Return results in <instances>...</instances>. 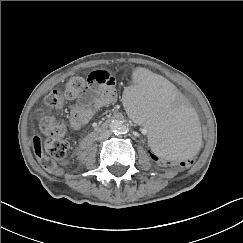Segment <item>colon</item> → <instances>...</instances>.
Returning <instances> with one entry per match:
<instances>
[{"label":"colon","instance_id":"5ec220e1","mask_svg":"<svg viewBox=\"0 0 243 243\" xmlns=\"http://www.w3.org/2000/svg\"><path fill=\"white\" fill-rule=\"evenodd\" d=\"M86 77L75 76L70 78L63 89H55L49 93L46 98V105L49 109L59 110L66 101L71 100L83 93L89 86L93 84L111 85L115 83L114 77L106 70L87 69ZM40 131L48 136L45 142L41 138L35 136L32 139L34 152L40 162L41 167L50 173L59 174L61 172L58 162L66 157L69 149V143L63 137L65 125L52 115H45L39 121ZM147 160L154 165L171 170L173 167L177 170H188L198 165L199 159L193 154L188 161H172L164 160L152 153L151 149L146 148L143 151Z\"/></svg>","mask_w":243,"mask_h":243}]
</instances>
